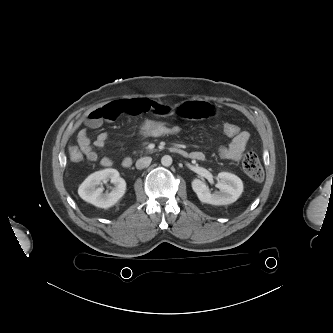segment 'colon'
Segmentation results:
<instances>
[{
  "label": "colon",
  "instance_id": "1",
  "mask_svg": "<svg viewBox=\"0 0 333 333\" xmlns=\"http://www.w3.org/2000/svg\"><path fill=\"white\" fill-rule=\"evenodd\" d=\"M223 133L234 138L240 133V128L230 122L222 125ZM186 132V128L179 122L169 120H149L142 122L137 130L136 135L141 139L181 136ZM70 158L74 162L83 159V155L77 147H70ZM245 173L253 180L260 181L263 179L264 171L255 152H247L242 161Z\"/></svg>",
  "mask_w": 333,
  "mask_h": 333
}]
</instances>
